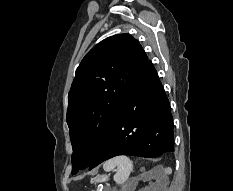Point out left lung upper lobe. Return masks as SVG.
I'll return each instance as SVG.
<instances>
[{"instance_id": "1", "label": "left lung upper lobe", "mask_w": 233, "mask_h": 191, "mask_svg": "<svg viewBox=\"0 0 233 191\" xmlns=\"http://www.w3.org/2000/svg\"><path fill=\"white\" fill-rule=\"evenodd\" d=\"M148 57L129 34L108 37L83 58L68 94L72 174L89 167Z\"/></svg>"}]
</instances>
